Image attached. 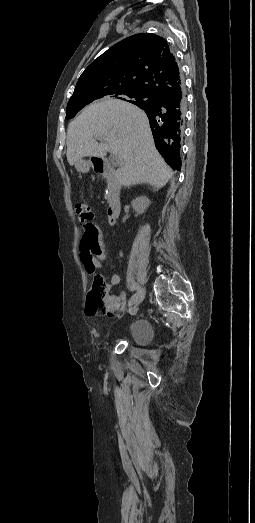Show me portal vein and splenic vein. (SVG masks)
Segmentation results:
<instances>
[{
  "instance_id": "18ae733b",
  "label": "portal vein and splenic vein",
  "mask_w": 255,
  "mask_h": 523,
  "mask_svg": "<svg viewBox=\"0 0 255 523\" xmlns=\"http://www.w3.org/2000/svg\"><path fill=\"white\" fill-rule=\"evenodd\" d=\"M98 140H99V138H98ZM113 154H114V152H113ZM115 156H116V154H115ZM115 160H116V162H118V163L116 164V167H117L118 169H121V168L123 167V164L121 163V162H123L122 158H118V156H117V158H115Z\"/></svg>"
}]
</instances>
